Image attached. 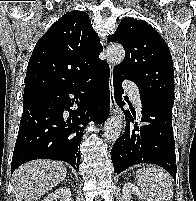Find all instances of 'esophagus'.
Wrapping results in <instances>:
<instances>
[{"instance_id": "obj_1", "label": "esophagus", "mask_w": 196, "mask_h": 201, "mask_svg": "<svg viewBox=\"0 0 196 201\" xmlns=\"http://www.w3.org/2000/svg\"><path fill=\"white\" fill-rule=\"evenodd\" d=\"M109 91H110V115L115 116L119 113V108L116 104L115 97H114V87H113V70L110 67V84H109Z\"/></svg>"}]
</instances>
